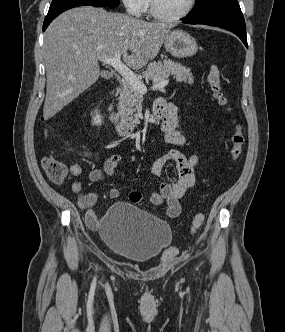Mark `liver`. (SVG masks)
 <instances>
[{"instance_id": "6515ba94", "label": "liver", "mask_w": 285, "mask_h": 332, "mask_svg": "<svg viewBox=\"0 0 285 332\" xmlns=\"http://www.w3.org/2000/svg\"><path fill=\"white\" fill-rule=\"evenodd\" d=\"M170 29L168 24L92 6L59 15L44 35V119L60 112L97 81L98 60L120 54L126 65L140 69L158 55Z\"/></svg>"}]
</instances>
